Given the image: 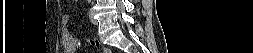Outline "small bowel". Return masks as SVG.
Listing matches in <instances>:
<instances>
[{
  "instance_id": "c3829d8e",
  "label": "small bowel",
  "mask_w": 253,
  "mask_h": 53,
  "mask_svg": "<svg viewBox=\"0 0 253 53\" xmlns=\"http://www.w3.org/2000/svg\"><path fill=\"white\" fill-rule=\"evenodd\" d=\"M68 22H69V16L64 15L62 17V45L66 53H73L77 49V47L80 45L77 38L72 36V34L68 30Z\"/></svg>"
}]
</instances>
